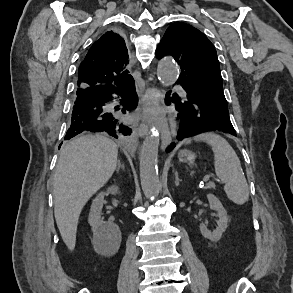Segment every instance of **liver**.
Masks as SVG:
<instances>
[{"instance_id":"1","label":"liver","mask_w":293,"mask_h":293,"mask_svg":"<svg viewBox=\"0 0 293 293\" xmlns=\"http://www.w3.org/2000/svg\"><path fill=\"white\" fill-rule=\"evenodd\" d=\"M118 146L102 135L75 138L62 150L53 179L54 215L61 237L74 250L80 213L113 175Z\"/></svg>"}]
</instances>
